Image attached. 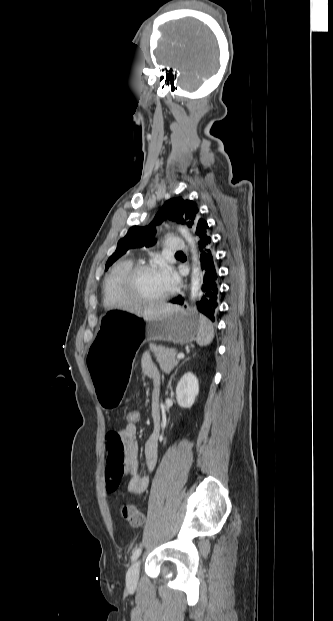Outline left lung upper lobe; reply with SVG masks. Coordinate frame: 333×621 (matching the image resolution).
<instances>
[{
    "mask_svg": "<svg viewBox=\"0 0 333 621\" xmlns=\"http://www.w3.org/2000/svg\"><path fill=\"white\" fill-rule=\"evenodd\" d=\"M164 219L186 224L195 231L207 224V222L200 217L198 206L194 201L183 197L172 198L165 202L149 225L145 227L132 226L129 229L126 236L119 240L115 252L107 260L105 270L128 249L155 244V226L160 224Z\"/></svg>",
    "mask_w": 333,
    "mask_h": 621,
    "instance_id": "left-lung-upper-lobe-1",
    "label": "left lung upper lobe"
}]
</instances>
